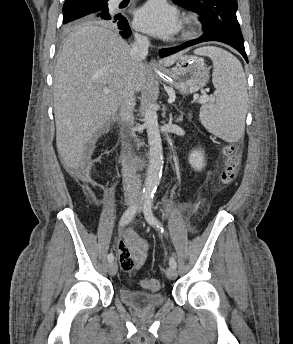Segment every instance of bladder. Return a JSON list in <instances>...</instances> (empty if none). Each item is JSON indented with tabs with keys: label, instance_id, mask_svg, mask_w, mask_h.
Masks as SVG:
<instances>
[{
	"label": "bladder",
	"instance_id": "1",
	"mask_svg": "<svg viewBox=\"0 0 293 344\" xmlns=\"http://www.w3.org/2000/svg\"><path fill=\"white\" fill-rule=\"evenodd\" d=\"M119 297L123 303L138 311L154 310L161 307L165 302L163 293H148L127 287L119 289Z\"/></svg>",
	"mask_w": 293,
	"mask_h": 344
}]
</instances>
